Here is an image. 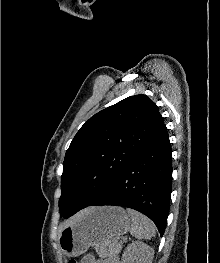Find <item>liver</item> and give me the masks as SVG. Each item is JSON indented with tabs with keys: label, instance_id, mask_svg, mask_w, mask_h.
Masks as SVG:
<instances>
[{
	"label": "liver",
	"instance_id": "6515ba94",
	"mask_svg": "<svg viewBox=\"0 0 220 263\" xmlns=\"http://www.w3.org/2000/svg\"><path fill=\"white\" fill-rule=\"evenodd\" d=\"M87 210H83L81 212H79L78 214H76L74 217H72L69 220H66L61 226H60V230L62 231L65 227L71 225L73 222H75L78 218H80Z\"/></svg>",
	"mask_w": 220,
	"mask_h": 263
}]
</instances>
